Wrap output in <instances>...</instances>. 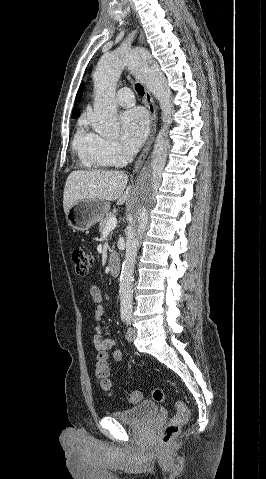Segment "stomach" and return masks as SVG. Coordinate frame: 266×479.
<instances>
[{"label": "stomach", "mask_w": 266, "mask_h": 479, "mask_svg": "<svg viewBox=\"0 0 266 479\" xmlns=\"http://www.w3.org/2000/svg\"><path fill=\"white\" fill-rule=\"evenodd\" d=\"M110 209L109 203L96 199H84L76 202L67 212L66 220L70 227L85 231L102 220Z\"/></svg>", "instance_id": "stomach-1"}]
</instances>
